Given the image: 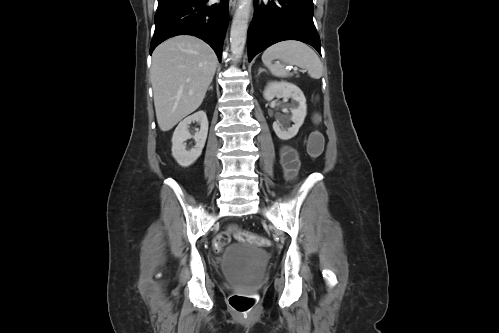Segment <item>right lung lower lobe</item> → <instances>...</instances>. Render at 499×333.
Returning a JSON list of instances; mask_svg holds the SVG:
<instances>
[{
    "label": "right lung lower lobe",
    "mask_w": 499,
    "mask_h": 333,
    "mask_svg": "<svg viewBox=\"0 0 499 333\" xmlns=\"http://www.w3.org/2000/svg\"><path fill=\"white\" fill-rule=\"evenodd\" d=\"M158 0L155 32L150 53L161 42L177 35H193L207 42L221 60L222 43L228 21V0Z\"/></svg>",
    "instance_id": "obj_1"
}]
</instances>
